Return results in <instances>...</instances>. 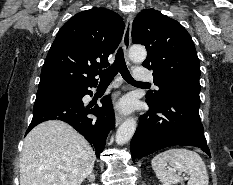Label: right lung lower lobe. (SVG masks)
I'll list each match as a JSON object with an SVG mask.
<instances>
[{"label": "right lung lower lobe", "mask_w": 233, "mask_h": 185, "mask_svg": "<svg viewBox=\"0 0 233 185\" xmlns=\"http://www.w3.org/2000/svg\"><path fill=\"white\" fill-rule=\"evenodd\" d=\"M96 85L78 86L69 90L38 91L33 118L26 134L43 121L62 120L84 135L99 156L108 133L115 127V116L109 96L101 99L102 107L84 105L82 102L83 96L92 95L87 88ZM90 115H95L97 119L90 118Z\"/></svg>", "instance_id": "obj_1"}]
</instances>
